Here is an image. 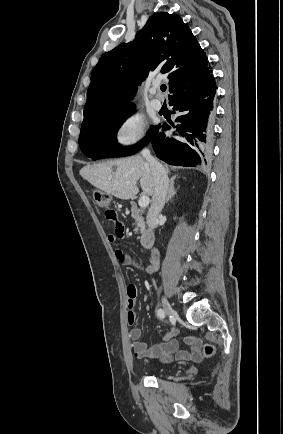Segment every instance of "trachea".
I'll return each instance as SVG.
<instances>
[{
  "instance_id": "obj_1",
  "label": "trachea",
  "mask_w": 283,
  "mask_h": 434,
  "mask_svg": "<svg viewBox=\"0 0 283 434\" xmlns=\"http://www.w3.org/2000/svg\"><path fill=\"white\" fill-rule=\"evenodd\" d=\"M160 88H161V91H162V92H165V91H166V85H165V84L161 85Z\"/></svg>"
}]
</instances>
